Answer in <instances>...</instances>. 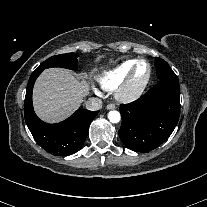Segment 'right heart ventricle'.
Wrapping results in <instances>:
<instances>
[{"mask_svg": "<svg viewBox=\"0 0 207 207\" xmlns=\"http://www.w3.org/2000/svg\"><path fill=\"white\" fill-rule=\"evenodd\" d=\"M135 60H127L116 66L114 69L102 73L98 78L101 89L111 91L115 89L126 78Z\"/></svg>", "mask_w": 207, "mask_h": 207, "instance_id": "e07e8e85", "label": "right heart ventricle"}]
</instances>
